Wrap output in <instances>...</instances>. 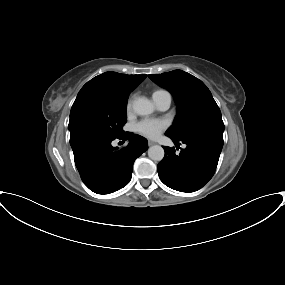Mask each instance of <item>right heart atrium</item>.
I'll list each match as a JSON object with an SVG mask.
<instances>
[{
	"mask_svg": "<svg viewBox=\"0 0 285 285\" xmlns=\"http://www.w3.org/2000/svg\"><path fill=\"white\" fill-rule=\"evenodd\" d=\"M132 107H133V97H131L127 102L126 109L128 113L132 111Z\"/></svg>",
	"mask_w": 285,
	"mask_h": 285,
	"instance_id": "1",
	"label": "right heart atrium"
}]
</instances>
